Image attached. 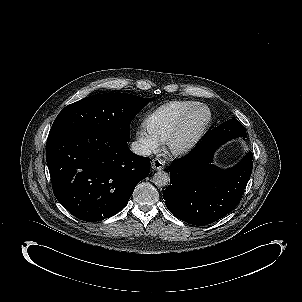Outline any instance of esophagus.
<instances>
[{
	"label": "esophagus",
	"instance_id": "esophagus-1",
	"mask_svg": "<svg viewBox=\"0 0 302 302\" xmlns=\"http://www.w3.org/2000/svg\"><path fill=\"white\" fill-rule=\"evenodd\" d=\"M165 162L162 159L155 158L151 162V167L153 170H162L164 169Z\"/></svg>",
	"mask_w": 302,
	"mask_h": 302
}]
</instances>
